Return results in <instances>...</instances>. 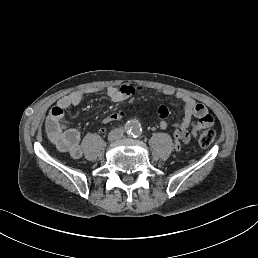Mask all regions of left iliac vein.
Returning a JSON list of instances; mask_svg holds the SVG:
<instances>
[{
    "instance_id": "1",
    "label": "left iliac vein",
    "mask_w": 258,
    "mask_h": 258,
    "mask_svg": "<svg viewBox=\"0 0 258 258\" xmlns=\"http://www.w3.org/2000/svg\"><path fill=\"white\" fill-rule=\"evenodd\" d=\"M117 132H118V134H119V136H118L119 139H121V140L124 139L125 136H124V134H123V132H124L123 129L120 128V129H118Z\"/></svg>"
}]
</instances>
